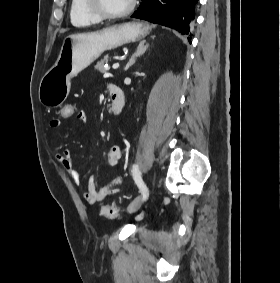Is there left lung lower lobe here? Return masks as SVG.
<instances>
[{"instance_id":"0a47b994","label":"left lung lower lobe","mask_w":280,"mask_h":283,"mask_svg":"<svg viewBox=\"0 0 280 283\" xmlns=\"http://www.w3.org/2000/svg\"><path fill=\"white\" fill-rule=\"evenodd\" d=\"M197 2L198 0H142L131 17L161 24L188 35ZM188 40L191 42V38Z\"/></svg>"}]
</instances>
